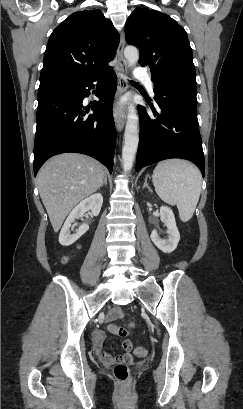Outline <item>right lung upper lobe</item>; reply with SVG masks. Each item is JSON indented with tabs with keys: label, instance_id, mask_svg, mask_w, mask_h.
I'll use <instances>...</instances> for the list:
<instances>
[{
	"label": "right lung upper lobe",
	"instance_id": "right-lung-upper-lobe-1",
	"mask_svg": "<svg viewBox=\"0 0 243 409\" xmlns=\"http://www.w3.org/2000/svg\"><path fill=\"white\" fill-rule=\"evenodd\" d=\"M118 44V32L100 10L75 12L52 32L40 80L83 81L108 67Z\"/></svg>",
	"mask_w": 243,
	"mask_h": 409
}]
</instances>
